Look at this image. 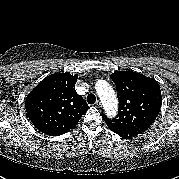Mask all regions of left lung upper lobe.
Masks as SVG:
<instances>
[{"label":"left lung upper lobe","instance_id":"obj_1","mask_svg":"<svg viewBox=\"0 0 179 179\" xmlns=\"http://www.w3.org/2000/svg\"><path fill=\"white\" fill-rule=\"evenodd\" d=\"M111 78L116 84L119 111L109 119L102 118L113 132L130 139L147 130L161 107V91L156 80L132 71H115Z\"/></svg>","mask_w":179,"mask_h":179}]
</instances>
